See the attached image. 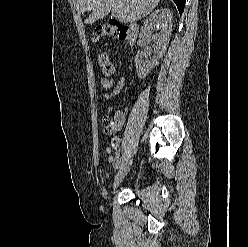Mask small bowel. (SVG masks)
Wrapping results in <instances>:
<instances>
[{
  "mask_svg": "<svg viewBox=\"0 0 248 247\" xmlns=\"http://www.w3.org/2000/svg\"><path fill=\"white\" fill-rule=\"evenodd\" d=\"M100 83L105 90L113 88L112 93L106 94V97L110 98V97L115 96L116 94H118L120 92V90L122 89V87L124 85V78L121 77L117 81L113 77L100 78ZM124 121H125L124 115L122 113H118L115 116L114 130L115 131L119 130L122 127ZM106 152L109 156V161L112 162L113 164H115V166H116L115 159L112 156V150L110 148H107Z\"/></svg>",
  "mask_w": 248,
  "mask_h": 247,
  "instance_id": "c3829d8e",
  "label": "small bowel"
}]
</instances>
